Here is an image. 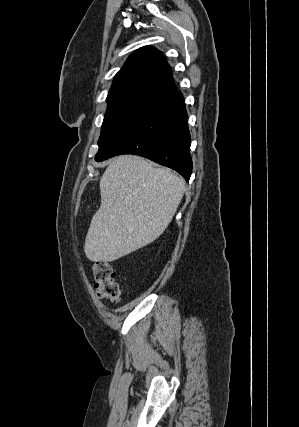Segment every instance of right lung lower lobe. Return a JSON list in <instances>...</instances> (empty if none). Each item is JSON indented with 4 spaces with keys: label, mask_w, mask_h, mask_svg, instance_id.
<instances>
[{
    "label": "right lung lower lobe",
    "mask_w": 299,
    "mask_h": 427,
    "mask_svg": "<svg viewBox=\"0 0 299 427\" xmlns=\"http://www.w3.org/2000/svg\"><path fill=\"white\" fill-rule=\"evenodd\" d=\"M187 111L181 92L156 101L148 111L96 161L137 154L179 172L188 182L192 172Z\"/></svg>",
    "instance_id": "obj_1"
}]
</instances>
